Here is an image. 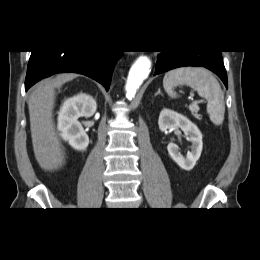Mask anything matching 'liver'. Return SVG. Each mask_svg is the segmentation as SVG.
<instances>
[{
	"label": "liver",
	"instance_id": "6515ba94",
	"mask_svg": "<svg viewBox=\"0 0 260 260\" xmlns=\"http://www.w3.org/2000/svg\"><path fill=\"white\" fill-rule=\"evenodd\" d=\"M77 77L63 73L40 84L28 101L30 129L35 158L41 168L52 171L64 164L65 153L53 121L55 89Z\"/></svg>",
	"mask_w": 260,
	"mask_h": 260
}]
</instances>
